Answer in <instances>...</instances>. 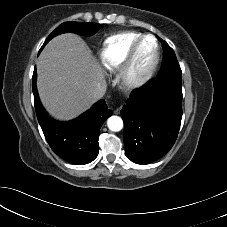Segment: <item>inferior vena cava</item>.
<instances>
[{
  "instance_id": "1",
  "label": "inferior vena cava",
  "mask_w": 227,
  "mask_h": 227,
  "mask_svg": "<svg viewBox=\"0 0 227 227\" xmlns=\"http://www.w3.org/2000/svg\"><path fill=\"white\" fill-rule=\"evenodd\" d=\"M106 83L99 84L98 87L92 92V98L96 101L101 99L106 93Z\"/></svg>"
}]
</instances>
